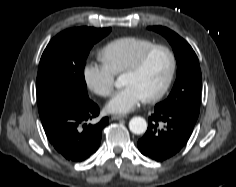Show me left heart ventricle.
Returning <instances> with one entry per match:
<instances>
[{
    "label": "left heart ventricle",
    "instance_id": "left-heart-ventricle-1",
    "mask_svg": "<svg viewBox=\"0 0 236 187\" xmlns=\"http://www.w3.org/2000/svg\"><path fill=\"white\" fill-rule=\"evenodd\" d=\"M170 61L168 55L161 50L153 52L145 61L139 72L124 74V86L135 87L146 98L156 93L165 83L169 72Z\"/></svg>",
    "mask_w": 236,
    "mask_h": 187
}]
</instances>
